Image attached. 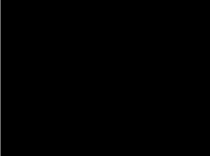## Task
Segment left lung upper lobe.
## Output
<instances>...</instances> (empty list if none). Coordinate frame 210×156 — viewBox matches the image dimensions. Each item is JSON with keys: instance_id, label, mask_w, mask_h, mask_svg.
<instances>
[{"instance_id": "5c2ea615", "label": "left lung upper lobe", "mask_w": 210, "mask_h": 156, "mask_svg": "<svg viewBox=\"0 0 210 156\" xmlns=\"http://www.w3.org/2000/svg\"><path fill=\"white\" fill-rule=\"evenodd\" d=\"M166 126H167L166 116L162 115L150 127L149 137L150 138H156L157 136H159L163 132V130Z\"/></svg>"}]
</instances>
